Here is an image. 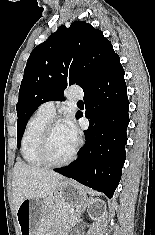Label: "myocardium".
I'll return each instance as SVG.
<instances>
[{"label":"myocardium","mask_w":155,"mask_h":235,"mask_svg":"<svg viewBox=\"0 0 155 235\" xmlns=\"http://www.w3.org/2000/svg\"><path fill=\"white\" fill-rule=\"evenodd\" d=\"M57 124H62L61 120L57 119V118H52L46 124V126L43 129V132H42V135L40 138V142H39V146H38V155H39L40 159L42 160V162L46 165L54 166V167L67 165L71 161H73L76 154H77L78 147H79L78 142H76L72 152L69 154L68 157H66L63 160L55 161L50 158L48 148H49L51 132Z\"/></svg>","instance_id":"1"}]
</instances>
